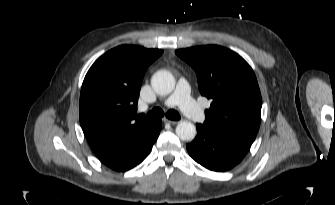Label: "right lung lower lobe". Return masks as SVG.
Returning a JSON list of instances; mask_svg holds the SVG:
<instances>
[{"instance_id": "1", "label": "right lung lower lobe", "mask_w": 335, "mask_h": 205, "mask_svg": "<svg viewBox=\"0 0 335 205\" xmlns=\"http://www.w3.org/2000/svg\"><path fill=\"white\" fill-rule=\"evenodd\" d=\"M161 127H162V122H161ZM161 127L158 133L156 134V136L151 141H149L146 145L138 149L137 151L121 156V157L106 158V159H100V160L106 166L116 171H126V170H129L135 167L136 165L141 163L145 159V157L148 155V153L150 152L153 144L158 138Z\"/></svg>"}]
</instances>
